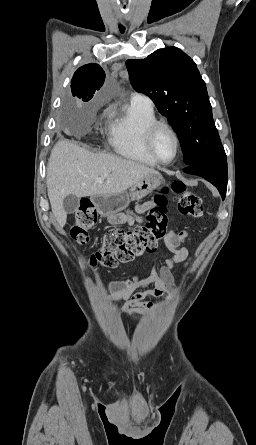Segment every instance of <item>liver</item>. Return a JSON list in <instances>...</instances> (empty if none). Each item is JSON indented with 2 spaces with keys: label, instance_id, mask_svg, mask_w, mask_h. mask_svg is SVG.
<instances>
[{
  "label": "liver",
  "instance_id": "1",
  "mask_svg": "<svg viewBox=\"0 0 256 445\" xmlns=\"http://www.w3.org/2000/svg\"><path fill=\"white\" fill-rule=\"evenodd\" d=\"M158 171L120 157L94 154L69 141H59L52 149L47 166V190L51 209L60 227L66 224L63 200L77 197L114 195ZM96 178L105 180L96 182Z\"/></svg>",
  "mask_w": 256,
  "mask_h": 445
}]
</instances>
